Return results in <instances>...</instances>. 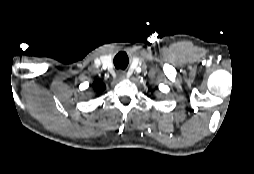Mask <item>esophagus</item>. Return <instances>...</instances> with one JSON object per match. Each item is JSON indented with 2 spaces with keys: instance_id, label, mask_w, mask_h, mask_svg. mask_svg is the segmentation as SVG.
Returning a JSON list of instances; mask_svg holds the SVG:
<instances>
[{
  "instance_id": "1",
  "label": "esophagus",
  "mask_w": 254,
  "mask_h": 174,
  "mask_svg": "<svg viewBox=\"0 0 254 174\" xmlns=\"http://www.w3.org/2000/svg\"><path fill=\"white\" fill-rule=\"evenodd\" d=\"M118 76L119 77H125V73L124 72H118Z\"/></svg>"
}]
</instances>
